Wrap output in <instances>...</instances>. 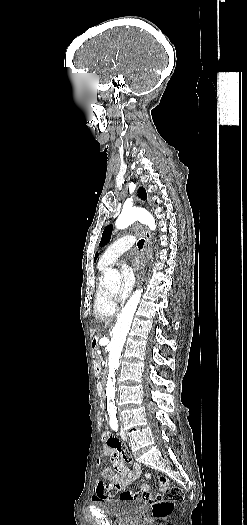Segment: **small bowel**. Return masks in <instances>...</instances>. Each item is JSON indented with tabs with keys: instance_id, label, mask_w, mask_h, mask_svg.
<instances>
[{
	"instance_id": "1",
	"label": "small bowel",
	"mask_w": 247,
	"mask_h": 525,
	"mask_svg": "<svg viewBox=\"0 0 247 525\" xmlns=\"http://www.w3.org/2000/svg\"><path fill=\"white\" fill-rule=\"evenodd\" d=\"M103 454L110 460L112 467L105 468L101 471L100 477L108 480L115 486L117 491H122L120 499L122 501H133L139 503L141 496L134 491L126 490L140 475V464L135 461L130 455L129 451L122 445L121 441L109 432L102 434ZM97 466H102V460H97ZM109 485L103 481L97 484V494L94 498L96 506H107L109 499L107 497ZM142 494L145 496L144 500L150 502L152 497L149 495V487L142 485Z\"/></svg>"
}]
</instances>
